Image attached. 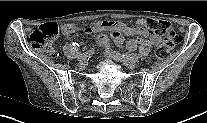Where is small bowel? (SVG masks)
Segmentation results:
<instances>
[{
    "label": "small bowel",
    "instance_id": "1",
    "mask_svg": "<svg viewBox=\"0 0 207 123\" xmlns=\"http://www.w3.org/2000/svg\"><path fill=\"white\" fill-rule=\"evenodd\" d=\"M88 33L99 34L97 37V44L105 48L107 51L110 48V39L105 32H109L117 45L123 43L121 34L134 36V38L127 41L126 46L129 50H135L137 46L145 41L151 45H159L161 37L157 34L150 33L144 27H132L123 21H98L95 22L88 30Z\"/></svg>",
    "mask_w": 207,
    "mask_h": 123
}]
</instances>
